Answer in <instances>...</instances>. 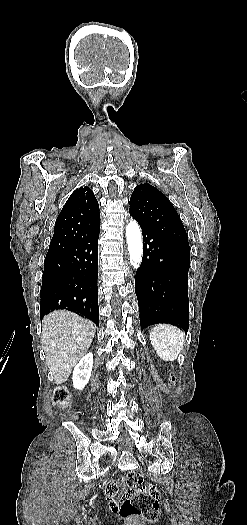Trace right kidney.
<instances>
[{"label": "right kidney", "instance_id": "right-kidney-1", "mask_svg": "<svg viewBox=\"0 0 247 525\" xmlns=\"http://www.w3.org/2000/svg\"><path fill=\"white\" fill-rule=\"evenodd\" d=\"M92 367L93 355L92 353H88V355H85V357H82V359H80L78 365H76L73 371L72 381L74 389H78V391H83L85 385L89 383V379L92 373Z\"/></svg>", "mask_w": 247, "mask_h": 525}]
</instances>
